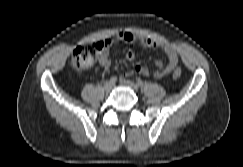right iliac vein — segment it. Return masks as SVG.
<instances>
[{
    "label": "right iliac vein",
    "mask_w": 243,
    "mask_h": 167,
    "mask_svg": "<svg viewBox=\"0 0 243 167\" xmlns=\"http://www.w3.org/2000/svg\"><path fill=\"white\" fill-rule=\"evenodd\" d=\"M104 90L106 91V92H110L111 90H112V88H113V84L111 83V82H105L104 83Z\"/></svg>",
    "instance_id": "obj_1"
}]
</instances>
